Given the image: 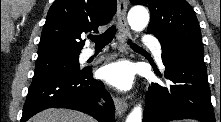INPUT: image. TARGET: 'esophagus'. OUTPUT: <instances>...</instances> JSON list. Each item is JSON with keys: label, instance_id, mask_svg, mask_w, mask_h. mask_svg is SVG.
<instances>
[{"label": "esophagus", "instance_id": "obj_1", "mask_svg": "<svg viewBox=\"0 0 221 122\" xmlns=\"http://www.w3.org/2000/svg\"><path fill=\"white\" fill-rule=\"evenodd\" d=\"M127 13V2L125 0H118V21H119V34H118V42H119V50L121 52L127 51L126 39L130 36V29L126 19ZM113 102L116 107L117 113L122 116L127 108V100L120 97L113 96Z\"/></svg>", "mask_w": 221, "mask_h": 122}]
</instances>
